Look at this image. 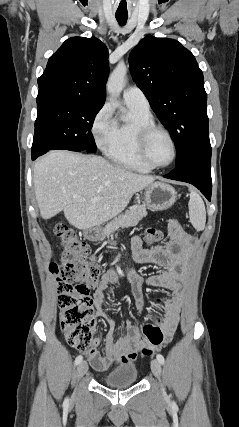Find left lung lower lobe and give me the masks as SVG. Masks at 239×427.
I'll return each mask as SVG.
<instances>
[{
	"label": "left lung lower lobe",
	"mask_w": 239,
	"mask_h": 427,
	"mask_svg": "<svg viewBox=\"0 0 239 427\" xmlns=\"http://www.w3.org/2000/svg\"><path fill=\"white\" fill-rule=\"evenodd\" d=\"M164 177L194 185L210 201L212 191L211 147L192 153Z\"/></svg>",
	"instance_id": "left-lung-lower-lobe-1"
}]
</instances>
